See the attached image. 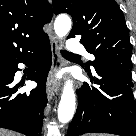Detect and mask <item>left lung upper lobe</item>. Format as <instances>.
I'll return each mask as SVG.
<instances>
[{"label":"left lung upper lobe","instance_id":"5c2ea615","mask_svg":"<svg viewBox=\"0 0 136 136\" xmlns=\"http://www.w3.org/2000/svg\"><path fill=\"white\" fill-rule=\"evenodd\" d=\"M53 10L72 16L68 38L82 36L80 42L95 56L90 62L94 68L131 70L129 31L115 0H53Z\"/></svg>","mask_w":136,"mask_h":136}]
</instances>
